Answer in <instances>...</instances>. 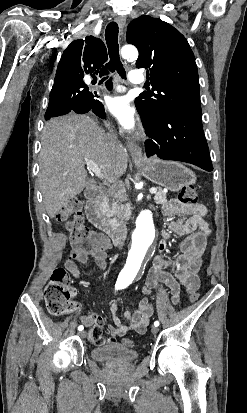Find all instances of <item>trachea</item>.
<instances>
[{
  "label": "trachea",
  "instance_id": "1",
  "mask_svg": "<svg viewBox=\"0 0 247 413\" xmlns=\"http://www.w3.org/2000/svg\"><path fill=\"white\" fill-rule=\"evenodd\" d=\"M118 25L115 22L109 23L105 31V39L109 51L110 61L106 64V67L110 72H117L122 78H126V72L119 57V45H118ZM104 77L102 80H106Z\"/></svg>",
  "mask_w": 247,
  "mask_h": 413
}]
</instances>
